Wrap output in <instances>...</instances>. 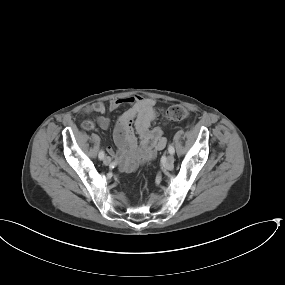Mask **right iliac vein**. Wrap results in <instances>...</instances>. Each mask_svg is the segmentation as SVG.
Segmentation results:
<instances>
[{"label":"right iliac vein","instance_id":"obj_1","mask_svg":"<svg viewBox=\"0 0 285 285\" xmlns=\"http://www.w3.org/2000/svg\"><path fill=\"white\" fill-rule=\"evenodd\" d=\"M111 158L109 157V156H105L104 157V159H103V163L105 164V165H109V164H111Z\"/></svg>","mask_w":285,"mask_h":285}]
</instances>
